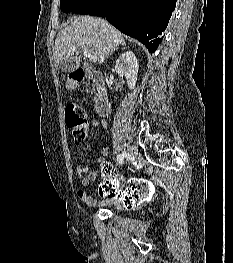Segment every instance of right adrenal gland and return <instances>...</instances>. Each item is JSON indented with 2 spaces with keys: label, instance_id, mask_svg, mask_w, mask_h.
Listing matches in <instances>:
<instances>
[{
  "label": "right adrenal gland",
  "instance_id": "1",
  "mask_svg": "<svg viewBox=\"0 0 233 263\" xmlns=\"http://www.w3.org/2000/svg\"><path fill=\"white\" fill-rule=\"evenodd\" d=\"M121 46L123 47V49L125 48V46H126V43L125 42H123L122 44H121ZM119 49V46H117V47H115V48H113L111 51H110V53L106 56V58H108L109 56H111L112 54H113V52L115 51V50H118Z\"/></svg>",
  "mask_w": 233,
  "mask_h": 263
}]
</instances>
